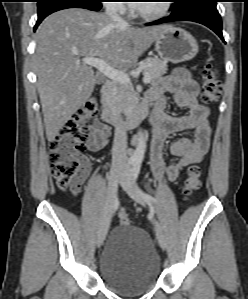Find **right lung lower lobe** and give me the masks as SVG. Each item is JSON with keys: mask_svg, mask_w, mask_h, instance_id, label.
Segmentation results:
<instances>
[{"mask_svg": "<svg viewBox=\"0 0 248 299\" xmlns=\"http://www.w3.org/2000/svg\"><path fill=\"white\" fill-rule=\"evenodd\" d=\"M101 6L100 2L98 4H93L83 0H52L51 2L38 7V20L34 27V31L46 16L58 10L76 7L98 11Z\"/></svg>", "mask_w": 248, "mask_h": 299, "instance_id": "obj_1", "label": "right lung lower lobe"}]
</instances>
